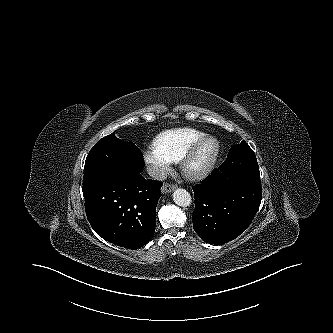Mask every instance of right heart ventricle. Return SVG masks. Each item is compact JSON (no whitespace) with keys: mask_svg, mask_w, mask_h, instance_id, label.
Masks as SVG:
<instances>
[{"mask_svg":"<svg viewBox=\"0 0 333 333\" xmlns=\"http://www.w3.org/2000/svg\"><path fill=\"white\" fill-rule=\"evenodd\" d=\"M204 136L205 133L192 128L167 130L155 138L153 149L171 162H179L190 147Z\"/></svg>","mask_w":333,"mask_h":333,"instance_id":"e07e8e85","label":"right heart ventricle"}]
</instances>
